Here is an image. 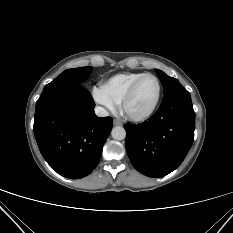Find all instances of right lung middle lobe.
Wrapping results in <instances>:
<instances>
[{
  "mask_svg": "<svg viewBox=\"0 0 233 233\" xmlns=\"http://www.w3.org/2000/svg\"><path fill=\"white\" fill-rule=\"evenodd\" d=\"M92 71V67H81L75 69H68L62 72L52 82L47 84L45 88H53L58 86H64L69 84H81L85 81Z\"/></svg>",
  "mask_w": 233,
  "mask_h": 233,
  "instance_id": "obj_1",
  "label": "right lung middle lobe"
}]
</instances>
